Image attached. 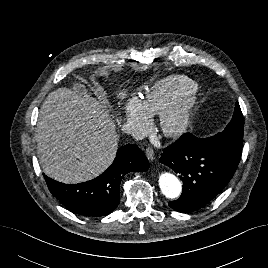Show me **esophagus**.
I'll return each instance as SVG.
<instances>
[{
  "label": "esophagus",
  "instance_id": "obj_1",
  "mask_svg": "<svg viewBox=\"0 0 268 268\" xmlns=\"http://www.w3.org/2000/svg\"><path fill=\"white\" fill-rule=\"evenodd\" d=\"M146 157L149 161H152L154 159V151L152 148L148 147L145 151Z\"/></svg>",
  "mask_w": 268,
  "mask_h": 268
}]
</instances>
